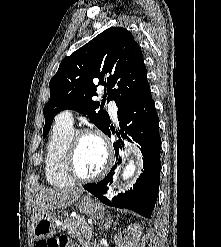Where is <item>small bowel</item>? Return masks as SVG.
<instances>
[{
  "instance_id": "obj_1",
  "label": "small bowel",
  "mask_w": 221,
  "mask_h": 247,
  "mask_svg": "<svg viewBox=\"0 0 221 247\" xmlns=\"http://www.w3.org/2000/svg\"><path fill=\"white\" fill-rule=\"evenodd\" d=\"M44 242H45V240L38 241L37 244H36V247H38V243H44ZM64 247H75V246H73L72 244L66 243Z\"/></svg>"
}]
</instances>
